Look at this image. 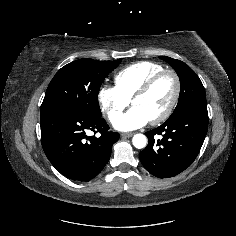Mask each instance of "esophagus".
Listing matches in <instances>:
<instances>
[{"instance_id": "34e87169", "label": "esophagus", "mask_w": 236, "mask_h": 236, "mask_svg": "<svg viewBox=\"0 0 236 236\" xmlns=\"http://www.w3.org/2000/svg\"><path fill=\"white\" fill-rule=\"evenodd\" d=\"M134 135V133L132 132H129V133H122L121 136L122 137H125V138H129V137H132Z\"/></svg>"}]
</instances>
